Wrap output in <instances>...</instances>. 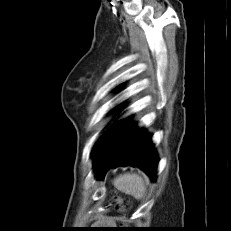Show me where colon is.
<instances>
[{"mask_svg": "<svg viewBox=\"0 0 231 231\" xmlns=\"http://www.w3.org/2000/svg\"><path fill=\"white\" fill-rule=\"evenodd\" d=\"M112 197L116 203V208L121 213H126L131 208V202L128 199L120 197L116 192H113Z\"/></svg>", "mask_w": 231, "mask_h": 231, "instance_id": "1", "label": "colon"}]
</instances>
